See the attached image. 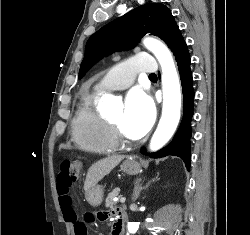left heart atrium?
Listing matches in <instances>:
<instances>
[{"instance_id":"39dd6f15","label":"left heart atrium","mask_w":250,"mask_h":235,"mask_svg":"<svg viewBox=\"0 0 250 235\" xmlns=\"http://www.w3.org/2000/svg\"><path fill=\"white\" fill-rule=\"evenodd\" d=\"M155 119V106L151 97L139 89L131 90L125 99L124 127L134 137L144 136Z\"/></svg>"}]
</instances>
